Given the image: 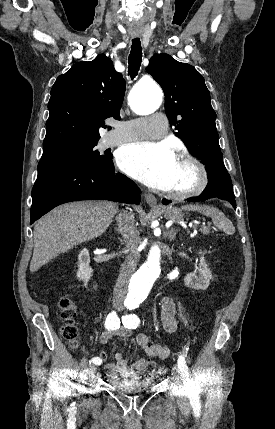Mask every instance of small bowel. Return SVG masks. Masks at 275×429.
<instances>
[{
    "mask_svg": "<svg viewBox=\"0 0 275 429\" xmlns=\"http://www.w3.org/2000/svg\"><path fill=\"white\" fill-rule=\"evenodd\" d=\"M160 317L166 333H173L177 330L180 321H186L187 314L184 307H176L174 300L166 296L161 301ZM132 331L126 327H119L116 330L104 331L99 336V343L104 345L114 336L129 337ZM137 344L144 351L147 358L135 361L131 366L127 363L122 353H116L115 362L105 365V372L109 378L118 376L123 378H137L143 372L152 359L165 360L169 356V349L166 346L151 343L148 336L141 333L136 337Z\"/></svg>",
    "mask_w": 275,
    "mask_h": 429,
    "instance_id": "1",
    "label": "small bowel"
}]
</instances>
